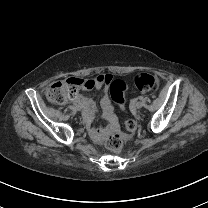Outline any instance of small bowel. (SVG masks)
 I'll use <instances>...</instances> for the list:
<instances>
[{
	"mask_svg": "<svg viewBox=\"0 0 208 208\" xmlns=\"http://www.w3.org/2000/svg\"><path fill=\"white\" fill-rule=\"evenodd\" d=\"M94 88L103 90L101 105L103 110L104 118L107 120V124H105L102 128H100V132H95L94 129L89 128L86 130L85 135L87 138L91 139L94 143H100L107 140L108 136L114 132L117 121L116 117L113 114L112 107L110 105V101L107 93V85L106 84H97ZM75 104L84 108L83 115L85 116L83 123L85 126L90 127L93 125V106L91 101L84 96L76 95L73 98Z\"/></svg>",
	"mask_w": 208,
	"mask_h": 208,
	"instance_id": "obj_1",
	"label": "small bowel"
}]
</instances>
